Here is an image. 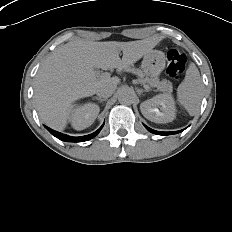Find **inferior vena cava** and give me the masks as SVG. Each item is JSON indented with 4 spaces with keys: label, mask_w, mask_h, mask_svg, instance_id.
I'll use <instances>...</instances> for the list:
<instances>
[{
    "label": "inferior vena cava",
    "mask_w": 232,
    "mask_h": 232,
    "mask_svg": "<svg viewBox=\"0 0 232 232\" xmlns=\"http://www.w3.org/2000/svg\"><path fill=\"white\" fill-rule=\"evenodd\" d=\"M115 89L116 83L111 80H106L99 85L96 94L100 98H108L114 93Z\"/></svg>",
    "instance_id": "obj_1"
}]
</instances>
